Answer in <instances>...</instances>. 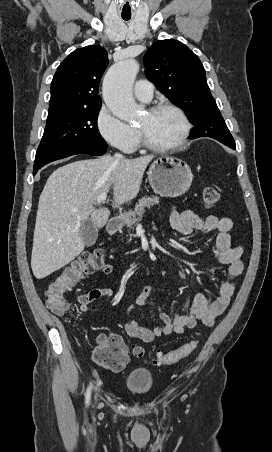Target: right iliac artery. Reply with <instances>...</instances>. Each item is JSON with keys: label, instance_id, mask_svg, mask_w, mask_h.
<instances>
[{"label": "right iliac artery", "instance_id": "1", "mask_svg": "<svg viewBox=\"0 0 272 452\" xmlns=\"http://www.w3.org/2000/svg\"><path fill=\"white\" fill-rule=\"evenodd\" d=\"M91 388H92V385L90 384V386L87 389L86 395H85L87 405L89 404V400H90Z\"/></svg>", "mask_w": 272, "mask_h": 452}]
</instances>
